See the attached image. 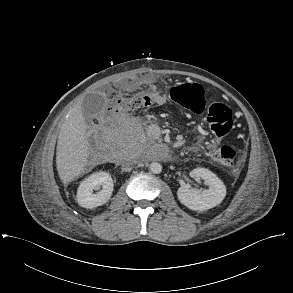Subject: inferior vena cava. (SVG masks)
Instances as JSON below:
<instances>
[{"mask_svg": "<svg viewBox=\"0 0 293 293\" xmlns=\"http://www.w3.org/2000/svg\"><path fill=\"white\" fill-rule=\"evenodd\" d=\"M135 163H136L135 160L127 162L126 165L122 167V171H130V170H132V165L135 164Z\"/></svg>", "mask_w": 293, "mask_h": 293, "instance_id": "602c4592", "label": "inferior vena cava"}]
</instances>
